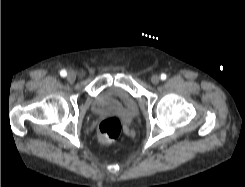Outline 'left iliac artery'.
I'll list each match as a JSON object with an SVG mask.
<instances>
[{"label":"left iliac artery","instance_id":"obj_1","mask_svg":"<svg viewBox=\"0 0 245 187\" xmlns=\"http://www.w3.org/2000/svg\"><path fill=\"white\" fill-rule=\"evenodd\" d=\"M166 78H167L166 74H164V73L161 74V79H162V80H165Z\"/></svg>","mask_w":245,"mask_h":187}]
</instances>
